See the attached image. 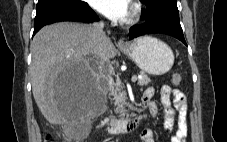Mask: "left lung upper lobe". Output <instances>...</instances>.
Listing matches in <instances>:
<instances>
[{
	"instance_id": "5c2ea615",
	"label": "left lung upper lobe",
	"mask_w": 227,
	"mask_h": 142,
	"mask_svg": "<svg viewBox=\"0 0 227 142\" xmlns=\"http://www.w3.org/2000/svg\"><path fill=\"white\" fill-rule=\"evenodd\" d=\"M146 5V9L141 12V17L146 18L154 12H165L179 16L177 0H140Z\"/></svg>"
}]
</instances>
